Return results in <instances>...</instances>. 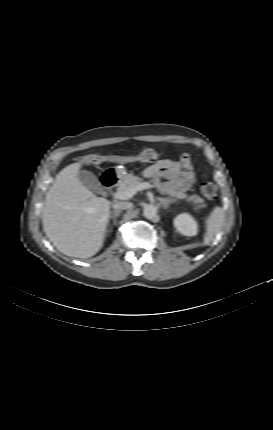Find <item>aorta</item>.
Instances as JSON below:
<instances>
[{"label":"aorta","mask_w":273,"mask_h":430,"mask_svg":"<svg viewBox=\"0 0 273 430\" xmlns=\"http://www.w3.org/2000/svg\"><path fill=\"white\" fill-rule=\"evenodd\" d=\"M143 213H144V216L147 219H153V218H155L157 216V208H156L155 205L147 204L144 207V212Z\"/></svg>","instance_id":"1"}]
</instances>
